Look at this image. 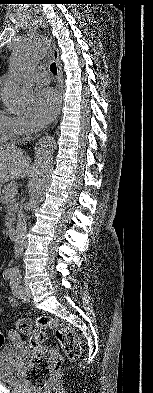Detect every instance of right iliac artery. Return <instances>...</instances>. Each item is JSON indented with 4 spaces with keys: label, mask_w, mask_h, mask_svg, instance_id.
I'll use <instances>...</instances> for the list:
<instances>
[{
    "label": "right iliac artery",
    "mask_w": 153,
    "mask_h": 393,
    "mask_svg": "<svg viewBox=\"0 0 153 393\" xmlns=\"http://www.w3.org/2000/svg\"><path fill=\"white\" fill-rule=\"evenodd\" d=\"M12 276H13V273L10 272V271H8V270H5V271L3 272V278H4V279H9V278L12 277Z\"/></svg>",
    "instance_id": "right-iliac-artery-1"
}]
</instances>
